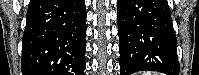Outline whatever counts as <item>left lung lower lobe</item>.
Instances as JSON below:
<instances>
[{"label":"left lung lower lobe","mask_w":199,"mask_h":75,"mask_svg":"<svg viewBox=\"0 0 199 75\" xmlns=\"http://www.w3.org/2000/svg\"><path fill=\"white\" fill-rule=\"evenodd\" d=\"M120 75H179L177 38L167 0H117Z\"/></svg>","instance_id":"obj_1"}]
</instances>
